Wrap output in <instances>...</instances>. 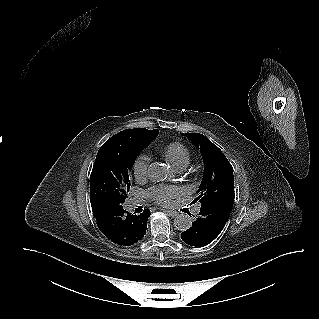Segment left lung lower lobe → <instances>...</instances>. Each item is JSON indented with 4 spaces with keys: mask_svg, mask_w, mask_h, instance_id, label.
Masks as SVG:
<instances>
[{
    "mask_svg": "<svg viewBox=\"0 0 319 319\" xmlns=\"http://www.w3.org/2000/svg\"><path fill=\"white\" fill-rule=\"evenodd\" d=\"M233 202H219L201 206L192 227L181 233L188 245L202 247L212 242L222 231L232 210Z\"/></svg>",
    "mask_w": 319,
    "mask_h": 319,
    "instance_id": "0a47b994",
    "label": "left lung lower lobe"
}]
</instances>
